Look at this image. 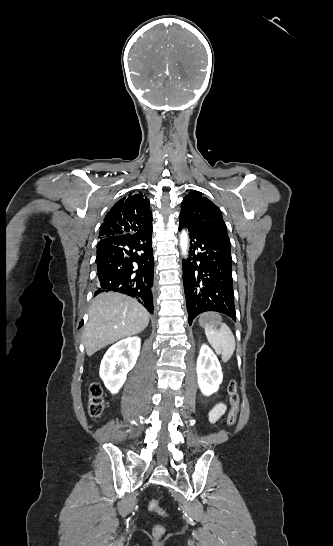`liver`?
Masks as SVG:
<instances>
[{"label":"liver","mask_w":333,"mask_h":546,"mask_svg":"<svg viewBox=\"0 0 333 546\" xmlns=\"http://www.w3.org/2000/svg\"><path fill=\"white\" fill-rule=\"evenodd\" d=\"M149 313L135 299L118 293H102L92 301L83 332L88 356L120 339L142 332Z\"/></svg>","instance_id":"liver-1"}]
</instances>
